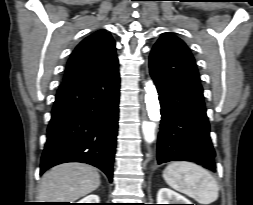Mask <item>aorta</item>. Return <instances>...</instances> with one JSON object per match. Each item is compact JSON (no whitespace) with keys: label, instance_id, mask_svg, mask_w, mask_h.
I'll return each instance as SVG.
<instances>
[{"label":"aorta","instance_id":"1","mask_svg":"<svg viewBox=\"0 0 253 205\" xmlns=\"http://www.w3.org/2000/svg\"><path fill=\"white\" fill-rule=\"evenodd\" d=\"M144 89L146 110L150 121L143 122L142 130L145 140L151 143L154 140V129L151 122H158L160 120V105L153 81H147Z\"/></svg>","mask_w":253,"mask_h":205}]
</instances>
